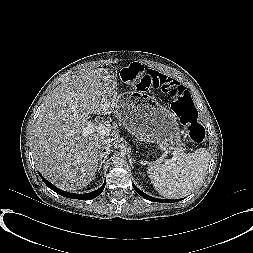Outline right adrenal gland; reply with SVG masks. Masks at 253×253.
I'll list each match as a JSON object with an SVG mask.
<instances>
[{"label":"right adrenal gland","mask_w":253,"mask_h":253,"mask_svg":"<svg viewBox=\"0 0 253 253\" xmlns=\"http://www.w3.org/2000/svg\"><path fill=\"white\" fill-rule=\"evenodd\" d=\"M111 151H106L102 154V159L99 163V166H98V172H100V169L102 167V164L105 162V160L107 159V156L110 154Z\"/></svg>","instance_id":"1"}]
</instances>
